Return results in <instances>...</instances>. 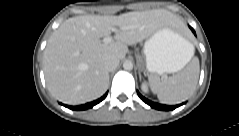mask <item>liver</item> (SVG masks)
I'll use <instances>...</instances> for the list:
<instances>
[{
  "label": "liver",
  "mask_w": 239,
  "mask_h": 136,
  "mask_svg": "<svg viewBox=\"0 0 239 136\" xmlns=\"http://www.w3.org/2000/svg\"><path fill=\"white\" fill-rule=\"evenodd\" d=\"M181 25L180 19L164 9L69 18L52 33L44 50L43 70L48 90L70 105L95 100L109 85L103 59H124L128 45L149 38L164 26ZM116 26L119 30L115 40L104 43L101 38L109 36Z\"/></svg>",
  "instance_id": "liver-1"
}]
</instances>
